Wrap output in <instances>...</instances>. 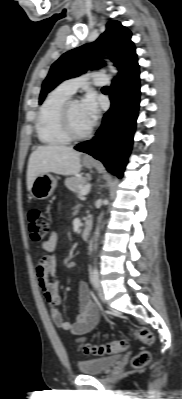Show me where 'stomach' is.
Segmentation results:
<instances>
[{"label": "stomach", "instance_id": "stomach-1", "mask_svg": "<svg viewBox=\"0 0 182 399\" xmlns=\"http://www.w3.org/2000/svg\"><path fill=\"white\" fill-rule=\"evenodd\" d=\"M83 164L87 168L94 166L93 161H84ZM57 186V180L49 173H44L37 176L33 182L30 194L33 198L43 200L49 198Z\"/></svg>", "mask_w": 182, "mask_h": 399}]
</instances>
